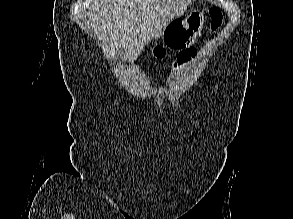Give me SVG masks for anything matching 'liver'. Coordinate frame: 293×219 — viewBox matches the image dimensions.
Segmentation results:
<instances>
[{
	"mask_svg": "<svg viewBox=\"0 0 293 219\" xmlns=\"http://www.w3.org/2000/svg\"><path fill=\"white\" fill-rule=\"evenodd\" d=\"M195 0H92L87 30L102 49L133 62L151 38H159L166 25L181 17Z\"/></svg>",
	"mask_w": 293,
	"mask_h": 219,
	"instance_id": "1",
	"label": "liver"
}]
</instances>
